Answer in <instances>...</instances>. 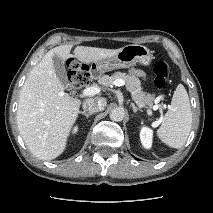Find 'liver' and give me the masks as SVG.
<instances>
[{"instance_id":"1","label":"liver","mask_w":213,"mask_h":213,"mask_svg":"<svg viewBox=\"0 0 213 213\" xmlns=\"http://www.w3.org/2000/svg\"><path fill=\"white\" fill-rule=\"evenodd\" d=\"M72 47L61 45L48 51L32 68L20 91L17 126L30 152L42 160L55 159L64 152L81 105V100L64 92L53 56L64 62L74 57L90 64L113 57L121 49L77 46L71 55Z\"/></svg>"}]
</instances>
